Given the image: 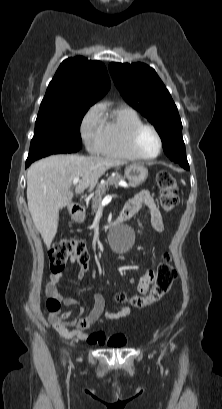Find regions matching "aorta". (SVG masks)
I'll return each mask as SVG.
<instances>
[{
    "label": "aorta",
    "instance_id": "obj_1",
    "mask_svg": "<svg viewBox=\"0 0 222 409\" xmlns=\"http://www.w3.org/2000/svg\"><path fill=\"white\" fill-rule=\"evenodd\" d=\"M129 230L125 227H118L114 233L115 247L119 251H126L130 248V243L126 241Z\"/></svg>",
    "mask_w": 222,
    "mask_h": 409
}]
</instances>
